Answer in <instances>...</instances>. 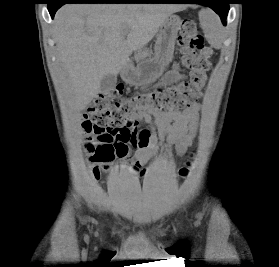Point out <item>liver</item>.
I'll return each mask as SVG.
<instances>
[{
  "label": "liver",
  "mask_w": 279,
  "mask_h": 267,
  "mask_svg": "<svg viewBox=\"0 0 279 267\" xmlns=\"http://www.w3.org/2000/svg\"><path fill=\"white\" fill-rule=\"evenodd\" d=\"M181 9L171 4L61 7L54 20V36L74 108L83 110L100 92L101 79L109 73L117 75L132 52L147 45L166 18Z\"/></svg>",
  "instance_id": "6515ba94"
}]
</instances>
